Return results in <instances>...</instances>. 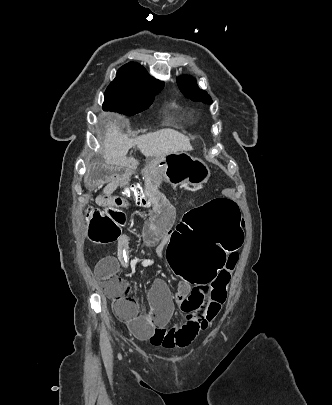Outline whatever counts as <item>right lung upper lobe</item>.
<instances>
[{"label": "right lung upper lobe", "instance_id": "right-lung-upper-lobe-1", "mask_svg": "<svg viewBox=\"0 0 332 405\" xmlns=\"http://www.w3.org/2000/svg\"><path fill=\"white\" fill-rule=\"evenodd\" d=\"M115 80H121L131 86L138 88H154L161 87L163 83L153 79L145 69L134 62H130L122 66L116 74Z\"/></svg>", "mask_w": 332, "mask_h": 405}]
</instances>
